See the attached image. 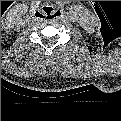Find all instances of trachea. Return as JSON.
<instances>
[{"instance_id":"1","label":"trachea","mask_w":121,"mask_h":121,"mask_svg":"<svg viewBox=\"0 0 121 121\" xmlns=\"http://www.w3.org/2000/svg\"><path fill=\"white\" fill-rule=\"evenodd\" d=\"M42 12L45 18L52 19L55 16L54 9L49 5H44L42 8Z\"/></svg>"}]
</instances>
